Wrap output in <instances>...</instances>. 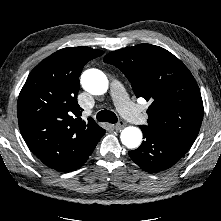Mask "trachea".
Wrapping results in <instances>:
<instances>
[{"label": "trachea", "mask_w": 221, "mask_h": 221, "mask_svg": "<svg viewBox=\"0 0 221 221\" xmlns=\"http://www.w3.org/2000/svg\"><path fill=\"white\" fill-rule=\"evenodd\" d=\"M96 118L99 122H109V123L117 122L116 114L109 110H102L98 112Z\"/></svg>", "instance_id": "1"}]
</instances>
